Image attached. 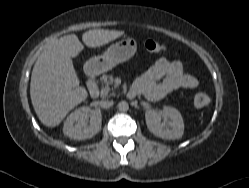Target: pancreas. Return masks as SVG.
I'll use <instances>...</instances> for the list:
<instances>
[{
    "instance_id": "1",
    "label": "pancreas",
    "mask_w": 249,
    "mask_h": 188,
    "mask_svg": "<svg viewBox=\"0 0 249 188\" xmlns=\"http://www.w3.org/2000/svg\"><path fill=\"white\" fill-rule=\"evenodd\" d=\"M113 80L112 75H103L101 77V97L108 96L109 92L113 90Z\"/></svg>"
}]
</instances>
